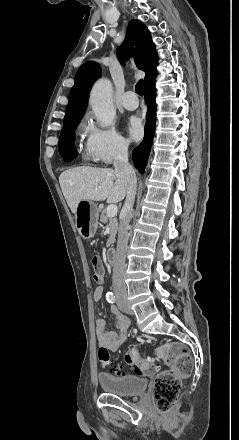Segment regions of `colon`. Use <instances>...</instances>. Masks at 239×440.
<instances>
[{
  "label": "colon",
  "mask_w": 239,
  "mask_h": 440,
  "mask_svg": "<svg viewBox=\"0 0 239 440\" xmlns=\"http://www.w3.org/2000/svg\"><path fill=\"white\" fill-rule=\"evenodd\" d=\"M93 278L96 282L104 280L102 263L98 257L92 258ZM166 368L155 376L152 388L153 400L156 409L166 412L172 408L178 397L182 380L192 372V360L186 348L180 344H167L159 349ZM98 359L102 366L110 367L111 371L120 376L125 371L122 366H113L108 350L99 349ZM125 362L132 367L137 375H153L157 372L156 364L148 359L139 357L135 348L129 349L125 355Z\"/></svg>",
  "instance_id": "obj_1"
}]
</instances>
